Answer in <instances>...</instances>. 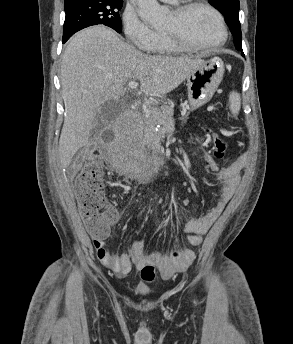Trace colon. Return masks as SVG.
Here are the masks:
<instances>
[{
	"label": "colon",
	"instance_id": "5ec220e1",
	"mask_svg": "<svg viewBox=\"0 0 293 344\" xmlns=\"http://www.w3.org/2000/svg\"><path fill=\"white\" fill-rule=\"evenodd\" d=\"M209 136L213 142L216 157L221 158L226 144L214 132H210ZM111 138L112 134L108 132L105 139ZM75 193L88 233L94 239L107 236L118 219V213L103 196V168L98 162H89L78 174L75 181ZM179 256V252H173L174 258ZM141 278L145 283L154 281L155 268L151 265L142 268Z\"/></svg>",
	"mask_w": 293,
	"mask_h": 344
}]
</instances>
